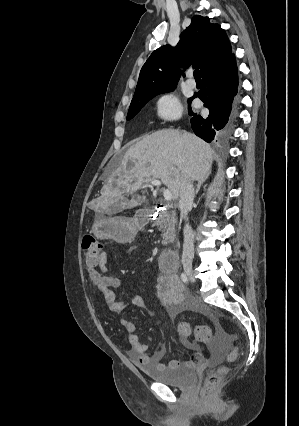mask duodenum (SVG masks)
<instances>
[{
	"label": "duodenum",
	"mask_w": 299,
	"mask_h": 426,
	"mask_svg": "<svg viewBox=\"0 0 299 426\" xmlns=\"http://www.w3.org/2000/svg\"><path fill=\"white\" fill-rule=\"evenodd\" d=\"M178 254L174 249L163 251L158 259V264L163 271H173L178 265Z\"/></svg>",
	"instance_id": "1"
}]
</instances>
